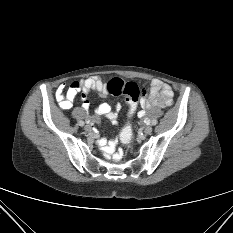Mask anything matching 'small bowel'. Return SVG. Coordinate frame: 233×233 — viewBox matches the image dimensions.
Masks as SVG:
<instances>
[{
    "label": "small bowel",
    "mask_w": 233,
    "mask_h": 233,
    "mask_svg": "<svg viewBox=\"0 0 233 233\" xmlns=\"http://www.w3.org/2000/svg\"><path fill=\"white\" fill-rule=\"evenodd\" d=\"M65 85L61 84L56 90V99L61 109L67 110L73 106V101L79 92H82V108L88 111L90 102L88 100L89 91H97L99 94L106 96L109 95L107 84L98 76L89 77L81 81H73L67 91L64 93ZM173 89L168 84L159 79H153L150 83L144 98L140 101L141 109L137 112L139 118L146 114V109L151 106L165 107L173 102ZM121 104H116L114 107L107 103H102L95 108V114L89 117V121L98 122L101 117L107 118L111 124H117L118 112L121 110ZM104 152L108 158L114 161H119L122 158V150L117 148L116 141H110L104 146Z\"/></svg>",
    "instance_id": "obj_1"
}]
</instances>
